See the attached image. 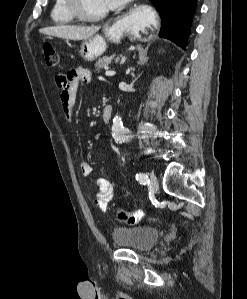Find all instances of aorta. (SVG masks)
<instances>
[{"label":"aorta","mask_w":247,"mask_h":299,"mask_svg":"<svg viewBox=\"0 0 247 299\" xmlns=\"http://www.w3.org/2000/svg\"><path fill=\"white\" fill-rule=\"evenodd\" d=\"M129 130L124 127L120 116L116 115L113 118L112 134L117 142H124L128 139Z\"/></svg>","instance_id":"1"}]
</instances>
